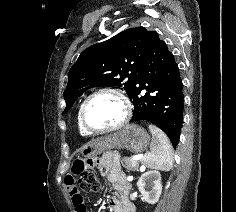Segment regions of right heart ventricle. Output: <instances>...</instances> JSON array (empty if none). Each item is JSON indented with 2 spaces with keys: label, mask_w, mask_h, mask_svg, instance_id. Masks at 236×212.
<instances>
[{
  "label": "right heart ventricle",
  "mask_w": 236,
  "mask_h": 212,
  "mask_svg": "<svg viewBox=\"0 0 236 212\" xmlns=\"http://www.w3.org/2000/svg\"><path fill=\"white\" fill-rule=\"evenodd\" d=\"M79 111H80V108L78 109V112H77V126H78V131L81 135L83 136H87L89 135V133H87L85 131V129L82 127L81 123H80V120H79Z\"/></svg>",
  "instance_id": "right-heart-ventricle-1"
}]
</instances>
